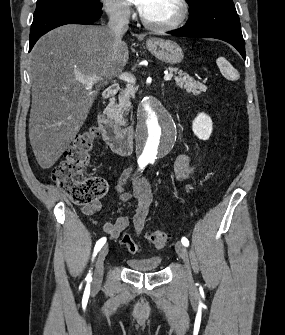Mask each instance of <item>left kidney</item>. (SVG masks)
<instances>
[{"mask_svg":"<svg viewBox=\"0 0 285 335\" xmlns=\"http://www.w3.org/2000/svg\"><path fill=\"white\" fill-rule=\"evenodd\" d=\"M192 130L199 140H209L212 134V120L206 114H198L192 126Z\"/></svg>","mask_w":285,"mask_h":335,"instance_id":"left-kidney-1","label":"left kidney"}]
</instances>
